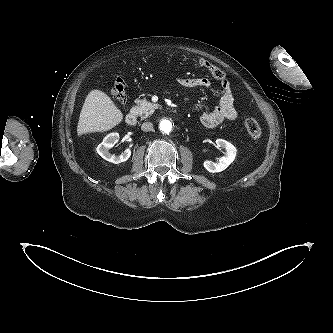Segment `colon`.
<instances>
[{
	"mask_svg": "<svg viewBox=\"0 0 333 333\" xmlns=\"http://www.w3.org/2000/svg\"><path fill=\"white\" fill-rule=\"evenodd\" d=\"M204 66L210 75L217 80H225L226 74L217 66L208 62H200ZM113 98L120 104L126 102V85L121 78H117L113 84L111 90ZM245 129L252 140H259L262 137V129L259 123L251 116H246L244 119Z\"/></svg>",
	"mask_w": 333,
	"mask_h": 333,
	"instance_id": "colon-1",
	"label": "colon"
}]
</instances>
